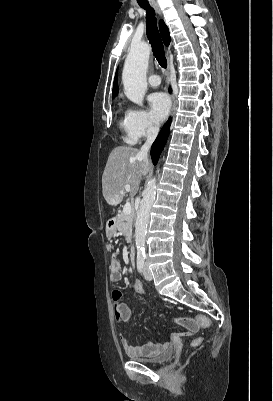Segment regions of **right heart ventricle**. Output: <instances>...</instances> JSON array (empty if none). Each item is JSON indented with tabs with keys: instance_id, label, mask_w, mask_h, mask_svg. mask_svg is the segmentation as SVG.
<instances>
[{
	"instance_id": "1",
	"label": "right heart ventricle",
	"mask_w": 273,
	"mask_h": 401,
	"mask_svg": "<svg viewBox=\"0 0 273 401\" xmlns=\"http://www.w3.org/2000/svg\"><path fill=\"white\" fill-rule=\"evenodd\" d=\"M126 112H127V110L124 112V116H123V118L120 120V127L123 128V129H125V130L127 131ZM126 141H127L128 143H130V144H134V143H136L137 139L131 137V136L128 134V137L126 138Z\"/></svg>"
}]
</instances>
